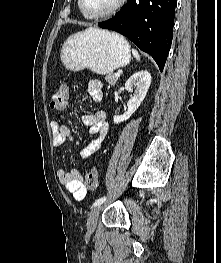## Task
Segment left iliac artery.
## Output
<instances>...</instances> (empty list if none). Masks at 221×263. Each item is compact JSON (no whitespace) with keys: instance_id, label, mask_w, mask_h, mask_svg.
Masks as SVG:
<instances>
[{"instance_id":"obj_1","label":"left iliac artery","mask_w":221,"mask_h":263,"mask_svg":"<svg viewBox=\"0 0 221 263\" xmlns=\"http://www.w3.org/2000/svg\"><path fill=\"white\" fill-rule=\"evenodd\" d=\"M105 200H106V197H105V196H104V197H101V198L97 199V200L94 202L93 206L100 205V204H102Z\"/></svg>"}]
</instances>
